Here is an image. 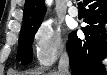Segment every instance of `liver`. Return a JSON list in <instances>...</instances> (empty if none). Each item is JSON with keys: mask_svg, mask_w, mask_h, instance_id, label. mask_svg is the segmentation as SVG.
<instances>
[{"mask_svg": "<svg viewBox=\"0 0 107 75\" xmlns=\"http://www.w3.org/2000/svg\"><path fill=\"white\" fill-rule=\"evenodd\" d=\"M21 75H43V74H40V73H37V72H26L24 74H21ZM46 75H58L57 72H52V73H48Z\"/></svg>", "mask_w": 107, "mask_h": 75, "instance_id": "1", "label": "liver"}]
</instances>
